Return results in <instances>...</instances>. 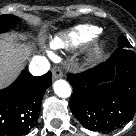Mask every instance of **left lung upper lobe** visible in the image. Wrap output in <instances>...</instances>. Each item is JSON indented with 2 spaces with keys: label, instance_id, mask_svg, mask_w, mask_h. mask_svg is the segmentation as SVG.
Returning <instances> with one entry per match:
<instances>
[{
  "label": "left lung upper lobe",
  "instance_id": "obj_1",
  "mask_svg": "<svg viewBox=\"0 0 136 136\" xmlns=\"http://www.w3.org/2000/svg\"><path fill=\"white\" fill-rule=\"evenodd\" d=\"M119 48H131L129 41L124 36H120L119 38Z\"/></svg>",
  "mask_w": 136,
  "mask_h": 136
}]
</instances>
